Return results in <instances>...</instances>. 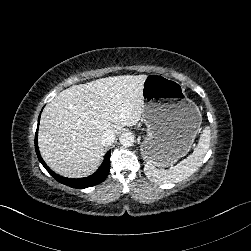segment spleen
<instances>
[{"instance_id":"1","label":"spleen","mask_w":251,"mask_h":251,"mask_svg":"<svg viewBox=\"0 0 251 251\" xmlns=\"http://www.w3.org/2000/svg\"><path fill=\"white\" fill-rule=\"evenodd\" d=\"M211 140V131L207 126L203 129L199 142L193 153L182 160L174 169H157L151 161L144 167L145 174L152 182L169 183L180 182L190 177L202 165L206 153L208 152Z\"/></svg>"}]
</instances>
